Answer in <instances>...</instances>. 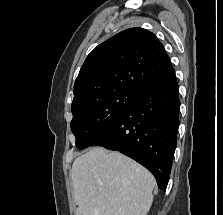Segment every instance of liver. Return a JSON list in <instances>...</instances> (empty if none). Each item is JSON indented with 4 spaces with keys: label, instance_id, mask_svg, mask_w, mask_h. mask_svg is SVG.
<instances>
[{
    "label": "liver",
    "instance_id": "liver-1",
    "mask_svg": "<svg viewBox=\"0 0 223 215\" xmlns=\"http://www.w3.org/2000/svg\"><path fill=\"white\" fill-rule=\"evenodd\" d=\"M76 215H145L153 201L154 175L143 165L104 147L73 161Z\"/></svg>",
    "mask_w": 223,
    "mask_h": 215
}]
</instances>
